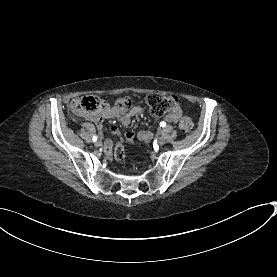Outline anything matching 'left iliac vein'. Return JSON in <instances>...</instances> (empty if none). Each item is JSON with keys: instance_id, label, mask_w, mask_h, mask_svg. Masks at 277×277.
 Listing matches in <instances>:
<instances>
[{"instance_id": "obj_1", "label": "left iliac vein", "mask_w": 277, "mask_h": 277, "mask_svg": "<svg viewBox=\"0 0 277 277\" xmlns=\"http://www.w3.org/2000/svg\"><path fill=\"white\" fill-rule=\"evenodd\" d=\"M165 139L163 138V137H160L159 138V140H158V144L160 145V146H163L164 144H165Z\"/></svg>"}]
</instances>
